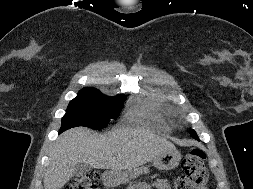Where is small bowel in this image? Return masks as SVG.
<instances>
[{
	"label": "small bowel",
	"mask_w": 253,
	"mask_h": 189,
	"mask_svg": "<svg viewBox=\"0 0 253 189\" xmlns=\"http://www.w3.org/2000/svg\"><path fill=\"white\" fill-rule=\"evenodd\" d=\"M169 189V185L164 180H156L152 184L141 183L133 186L132 189Z\"/></svg>",
	"instance_id": "1"
}]
</instances>
